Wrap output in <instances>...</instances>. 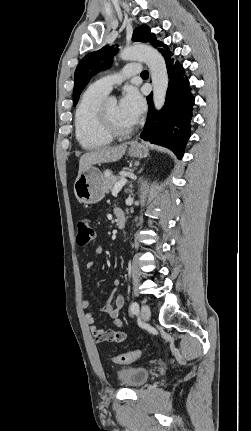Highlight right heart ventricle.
<instances>
[{"label": "right heart ventricle", "instance_id": "right-heart-ventricle-1", "mask_svg": "<svg viewBox=\"0 0 251 431\" xmlns=\"http://www.w3.org/2000/svg\"><path fill=\"white\" fill-rule=\"evenodd\" d=\"M106 93L92 85L82 94L75 110V135L83 149L94 150L112 142V137L103 132L99 125V108Z\"/></svg>", "mask_w": 251, "mask_h": 431}]
</instances>
